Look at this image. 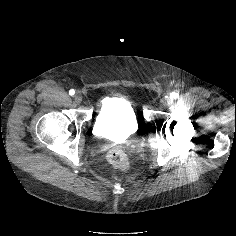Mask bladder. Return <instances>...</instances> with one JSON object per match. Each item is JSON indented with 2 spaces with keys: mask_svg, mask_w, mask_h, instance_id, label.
<instances>
[{
  "mask_svg": "<svg viewBox=\"0 0 236 236\" xmlns=\"http://www.w3.org/2000/svg\"><path fill=\"white\" fill-rule=\"evenodd\" d=\"M138 122L132 105L125 99H111L104 103L94 122L97 135L105 138L133 135Z\"/></svg>",
  "mask_w": 236,
  "mask_h": 236,
  "instance_id": "obj_1",
  "label": "bladder"
}]
</instances>
